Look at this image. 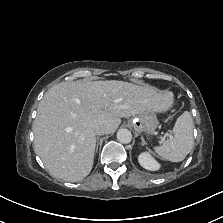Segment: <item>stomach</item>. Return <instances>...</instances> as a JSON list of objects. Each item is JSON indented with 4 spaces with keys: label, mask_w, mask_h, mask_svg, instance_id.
Returning <instances> with one entry per match:
<instances>
[{
    "label": "stomach",
    "mask_w": 223,
    "mask_h": 223,
    "mask_svg": "<svg viewBox=\"0 0 223 223\" xmlns=\"http://www.w3.org/2000/svg\"><path fill=\"white\" fill-rule=\"evenodd\" d=\"M132 126L137 132L154 133L158 119L154 111H146L132 119Z\"/></svg>",
    "instance_id": "obj_1"
}]
</instances>
